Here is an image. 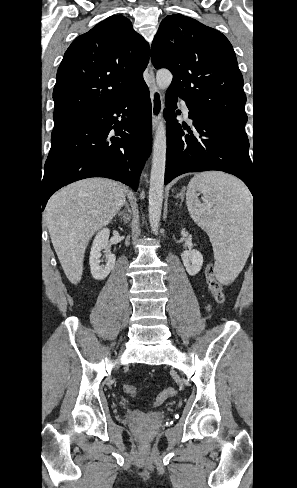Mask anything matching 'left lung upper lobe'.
<instances>
[{"label": "left lung upper lobe", "instance_id": "left-lung-upper-lobe-1", "mask_svg": "<svg viewBox=\"0 0 297 488\" xmlns=\"http://www.w3.org/2000/svg\"><path fill=\"white\" fill-rule=\"evenodd\" d=\"M156 69L168 68V90L190 111L240 132L247 122L243 77L229 40L218 30L181 14L162 20L151 46Z\"/></svg>", "mask_w": 297, "mask_h": 488}]
</instances>
